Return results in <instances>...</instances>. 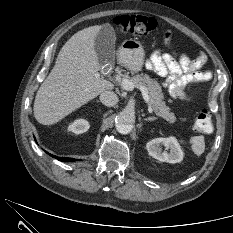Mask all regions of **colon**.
Returning <instances> with one entry per match:
<instances>
[{"label":"colon","mask_w":233,"mask_h":233,"mask_svg":"<svg viewBox=\"0 0 233 233\" xmlns=\"http://www.w3.org/2000/svg\"><path fill=\"white\" fill-rule=\"evenodd\" d=\"M114 24L120 31L134 35H147L156 28L154 18L142 15L117 16L114 19ZM194 128L203 134H209L213 131V123L208 111H202L197 116Z\"/></svg>","instance_id":"1"}]
</instances>
